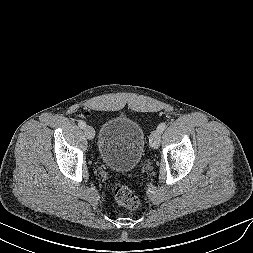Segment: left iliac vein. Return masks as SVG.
<instances>
[{
    "label": "left iliac vein",
    "mask_w": 253,
    "mask_h": 253,
    "mask_svg": "<svg viewBox=\"0 0 253 253\" xmlns=\"http://www.w3.org/2000/svg\"><path fill=\"white\" fill-rule=\"evenodd\" d=\"M161 140V132L158 130H155L150 135V147L153 149H157L160 145Z\"/></svg>",
    "instance_id": "left-iliac-vein-1"
}]
</instances>
